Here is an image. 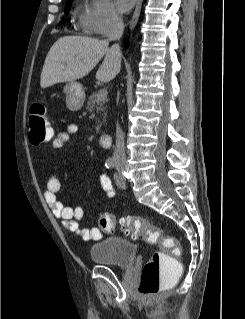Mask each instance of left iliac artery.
Masks as SVG:
<instances>
[{
    "label": "left iliac artery",
    "instance_id": "obj_1",
    "mask_svg": "<svg viewBox=\"0 0 245 319\" xmlns=\"http://www.w3.org/2000/svg\"><path fill=\"white\" fill-rule=\"evenodd\" d=\"M116 177H117V174L114 175V178H115V179H116Z\"/></svg>",
    "mask_w": 245,
    "mask_h": 319
}]
</instances>
